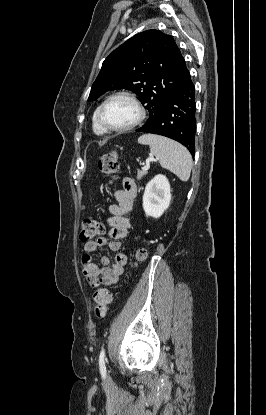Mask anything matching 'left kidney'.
<instances>
[{
  "mask_svg": "<svg viewBox=\"0 0 266 415\" xmlns=\"http://www.w3.org/2000/svg\"><path fill=\"white\" fill-rule=\"evenodd\" d=\"M171 201L170 184L166 176L156 175L145 187L143 209L147 217L159 218Z\"/></svg>",
  "mask_w": 266,
  "mask_h": 415,
  "instance_id": "left-kidney-1",
  "label": "left kidney"
}]
</instances>
